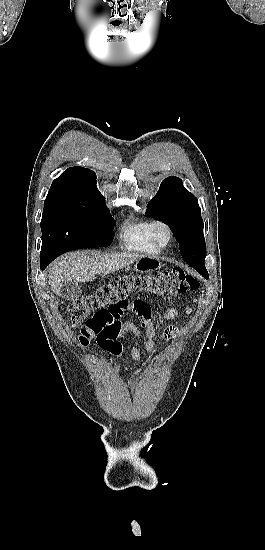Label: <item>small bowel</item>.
<instances>
[{
    "mask_svg": "<svg viewBox=\"0 0 265 550\" xmlns=\"http://www.w3.org/2000/svg\"><path fill=\"white\" fill-rule=\"evenodd\" d=\"M142 309L146 312L145 317L143 319L144 324L142 325L144 327V333L133 323H121L119 320H116L115 323L117 325V330L115 334L112 337H105L103 336L101 339H99V335L97 333H94L91 331L88 327H83L81 329L80 335L78 337V341L80 346L86 347L89 345L91 339L94 337H97L100 342L104 345V347L113 354L117 359L121 358L123 354V345H122V338L127 333H132L134 337L136 338V343L131 349V357L136 362L142 361V353L140 350L139 341L144 336L146 338V342L144 344V349L147 353H151L155 348V328L153 324L152 317L150 315V307L148 304L142 307ZM177 316V312L173 307H169L165 312V317L167 319H174ZM172 335L171 331H167L165 333V337H170ZM115 370H120V363H115Z\"/></svg>",
    "mask_w": 265,
    "mask_h": 550,
    "instance_id": "small-bowel-1",
    "label": "small bowel"
}]
</instances>
